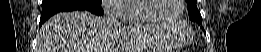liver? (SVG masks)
I'll list each match as a JSON object with an SVG mask.
<instances>
[{
	"label": "liver",
	"instance_id": "obj_1",
	"mask_svg": "<svg viewBox=\"0 0 261 52\" xmlns=\"http://www.w3.org/2000/svg\"><path fill=\"white\" fill-rule=\"evenodd\" d=\"M164 36L160 30L122 27L111 17L74 11L59 13L42 25L37 52H118V37L145 48L160 43Z\"/></svg>",
	"mask_w": 261,
	"mask_h": 52
}]
</instances>
